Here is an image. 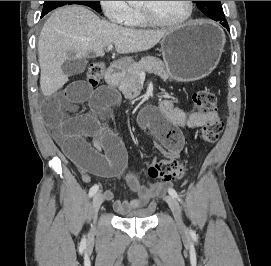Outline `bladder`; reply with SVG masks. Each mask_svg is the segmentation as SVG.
<instances>
[{
  "label": "bladder",
  "mask_w": 271,
  "mask_h": 266,
  "mask_svg": "<svg viewBox=\"0 0 271 266\" xmlns=\"http://www.w3.org/2000/svg\"><path fill=\"white\" fill-rule=\"evenodd\" d=\"M153 209H147V210H140L133 213L125 214V215H119L120 218H126V219H146L151 217Z\"/></svg>",
  "instance_id": "obj_1"
}]
</instances>
